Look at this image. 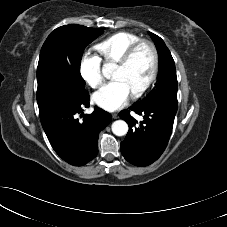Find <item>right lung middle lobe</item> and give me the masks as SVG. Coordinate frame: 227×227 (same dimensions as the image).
I'll return each mask as SVG.
<instances>
[{
	"mask_svg": "<svg viewBox=\"0 0 227 227\" xmlns=\"http://www.w3.org/2000/svg\"><path fill=\"white\" fill-rule=\"evenodd\" d=\"M103 32V28L76 24L64 25L51 32L42 46L37 67L39 107L85 90V81L80 74L82 54Z\"/></svg>",
	"mask_w": 227,
	"mask_h": 227,
	"instance_id": "dd1d6c3e",
	"label": "right lung middle lobe"
}]
</instances>
